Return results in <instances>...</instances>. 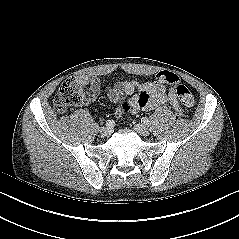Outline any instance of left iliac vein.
I'll use <instances>...</instances> for the list:
<instances>
[{"instance_id":"obj_1","label":"left iliac vein","mask_w":239,"mask_h":239,"mask_svg":"<svg viewBox=\"0 0 239 239\" xmlns=\"http://www.w3.org/2000/svg\"><path fill=\"white\" fill-rule=\"evenodd\" d=\"M134 129H135V131H136L138 134H140V135H142V136H148L149 133H150V132H149V129H148L147 127L141 125V124H136V125L134 126Z\"/></svg>"}]
</instances>
